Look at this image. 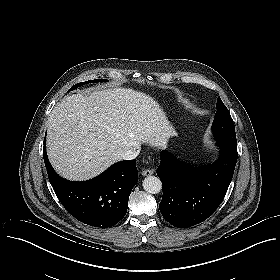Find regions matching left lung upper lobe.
I'll list each match as a JSON object with an SVG mask.
<instances>
[{"mask_svg": "<svg viewBox=\"0 0 280 280\" xmlns=\"http://www.w3.org/2000/svg\"><path fill=\"white\" fill-rule=\"evenodd\" d=\"M216 109L217 112L212 124L213 136L217 140L237 142L235 126L230 116V112L228 111L220 97H218Z\"/></svg>", "mask_w": 280, "mask_h": 280, "instance_id": "left-lung-upper-lobe-1", "label": "left lung upper lobe"}]
</instances>
